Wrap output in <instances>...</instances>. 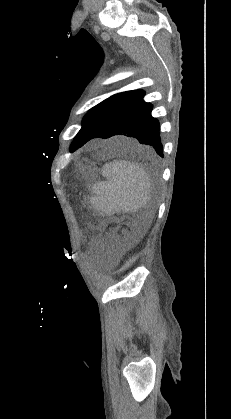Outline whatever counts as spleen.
Returning a JSON list of instances; mask_svg holds the SVG:
<instances>
[{"label": "spleen", "instance_id": "3e777b00", "mask_svg": "<svg viewBox=\"0 0 231 419\" xmlns=\"http://www.w3.org/2000/svg\"><path fill=\"white\" fill-rule=\"evenodd\" d=\"M106 181L93 187L92 205L106 214L137 212L145 208L151 198V184L147 172L139 164L117 160L104 165Z\"/></svg>", "mask_w": 231, "mask_h": 419}]
</instances>
